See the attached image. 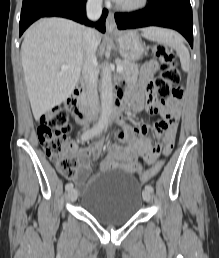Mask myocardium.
I'll list each match as a JSON object with an SVG mask.
<instances>
[{
	"label": "myocardium",
	"mask_w": 219,
	"mask_h": 258,
	"mask_svg": "<svg viewBox=\"0 0 219 258\" xmlns=\"http://www.w3.org/2000/svg\"><path fill=\"white\" fill-rule=\"evenodd\" d=\"M149 0H137L132 3L117 2V8L125 12H135L145 8Z\"/></svg>",
	"instance_id": "f54148a6"
}]
</instances>
